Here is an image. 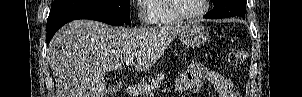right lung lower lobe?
<instances>
[{
    "label": "right lung lower lobe",
    "mask_w": 302,
    "mask_h": 97,
    "mask_svg": "<svg viewBox=\"0 0 302 97\" xmlns=\"http://www.w3.org/2000/svg\"><path fill=\"white\" fill-rule=\"evenodd\" d=\"M77 19H91L114 26H121L125 24L115 16L98 10L84 9L62 13L53 17H48L47 19V45L50 43V40L59 28H61L64 24Z\"/></svg>",
    "instance_id": "obj_1"
}]
</instances>
